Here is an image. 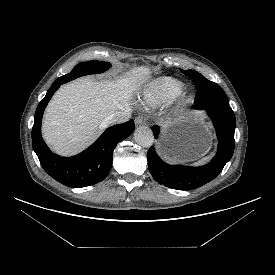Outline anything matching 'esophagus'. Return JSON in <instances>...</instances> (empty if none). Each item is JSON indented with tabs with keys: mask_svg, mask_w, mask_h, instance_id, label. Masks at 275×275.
<instances>
[{
	"mask_svg": "<svg viewBox=\"0 0 275 275\" xmlns=\"http://www.w3.org/2000/svg\"><path fill=\"white\" fill-rule=\"evenodd\" d=\"M146 123V119L143 116H138L135 118L136 126L144 125Z\"/></svg>",
	"mask_w": 275,
	"mask_h": 275,
	"instance_id": "obj_1",
	"label": "esophagus"
}]
</instances>
